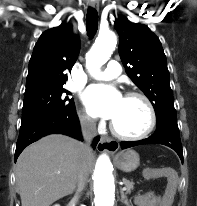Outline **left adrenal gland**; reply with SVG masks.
I'll return each instance as SVG.
<instances>
[{
    "label": "left adrenal gland",
    "mask_w": 197,
    "mask_h": 206,
    "mask_svg": "<svg viewBox=\"0 0 197 206\" xmlns=\"http://www.w3.org/2000/svg\"><path fill=\"white\" fill-rule=\"evenodd\" d=\"M120 194H121V201H122V203H124L125 205H127V206H130L129 205V202H128V198H127V196L124 194V191L121 189L120 190Z\"/></svg>",
    "instance_id": "obj_1"
}]
</instances>
